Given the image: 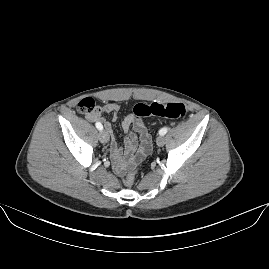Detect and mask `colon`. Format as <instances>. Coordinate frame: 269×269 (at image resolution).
Here are the masks:
<instances>
[{
  "label": "colon",
  "instance_id": "1",
  "mask_svg": "<svg viewBox=\"0 0 269 269\" xmlns=\"http://www.w3.org/2000/svg\"><path fill=\"white\" fill-rule=\"evenodd\" d=\"M78 110L82 113H93L98 111V107L92 99L83 98L78 103ZM132 114L138 118L159 117L164 119H181L186 116L187 109L183 103H138L133 107ZM137 128L139 131L143 132L142 145L144 152L147 153L151 150V137L147 134V132H145V130L142 131L140 127ZM135 175L136 170L128 166L126 171L121 176L122 183L125 186L132 185L135 179Z\"/></svg>",
  "mask_w": 269,
  "mask_h": 269
}]
</instances>
